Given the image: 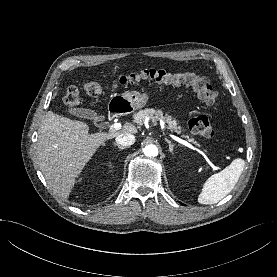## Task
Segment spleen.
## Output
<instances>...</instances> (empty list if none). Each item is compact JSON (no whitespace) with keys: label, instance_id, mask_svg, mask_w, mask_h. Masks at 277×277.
Listing matches in <instances>:
<instances>
[{"label":"spleen","instance_id":"3e777b00","mask_svg":"<svg viewBox=\"0 0 277 277\" xmlns=\"http://www.w3.org/2000/svg\"><path fill=\"white\" fill-rule=\"evenodd\" d=\"M245 162L237 158L221 172L211 175L203 185L198 196L200 204H215L228 195L238 182Z\"/></svg>","mask_w":277,"mask_h":277}]
</instances>
